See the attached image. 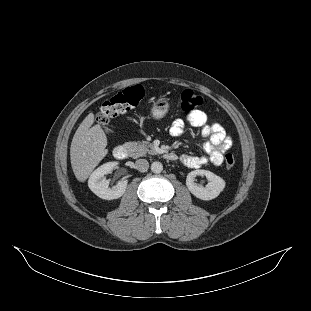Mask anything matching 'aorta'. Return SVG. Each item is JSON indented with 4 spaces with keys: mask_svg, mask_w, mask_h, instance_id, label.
I'll list each match as a JSON object with an SVG mask.
<instances>
[{
    "mask_svg": "<svg viewBox=\"0 0 311 311\" xmlns=\"http://www.w3.org/2000/svg\"><path fill=\"white\" fill-rule=\"evenodd\" d=\"M163 170V164L160 161H154L151 164V171L154 173H160Z\"/></svg>",
    "mask_w": 311,
    "mask_h": 311,
    "instance_id": "1",
    "label": "aorta"
}]
</instances>
